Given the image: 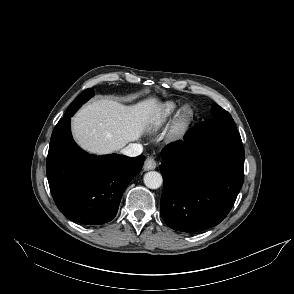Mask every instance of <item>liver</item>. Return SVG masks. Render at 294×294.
Returning a JSON list of instances; mask_svg holds the SVG:
<instances>
[{
	"label": "liver",
	"instance_id": "liver-1",
	"mask_svg": "<svg viewBox=\"0 0 294 294\" xmlns=\"http://www.w3.org/2000/svg\"><path fill=\"white\" fill-rule=\"evenodd\" d=\"M156 99L125 106L110 99L83 106L72 120L76 142L86 151L104 155L138 140L161 117Z\"/></svg>",
	"mask_w": 294,
	"mask_h": 294
}]
</instances>
